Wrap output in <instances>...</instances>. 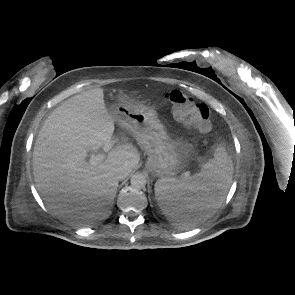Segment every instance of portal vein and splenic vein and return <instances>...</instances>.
I'll use <instances>...</instances> for the list:
<instances>
[{"label": "portal vein and splenic vein", "mask_w": 295, "mask_h": 295, "mask_svg": "<svg viewBox=\"0 0 295 295\" xmlns=\"http://www.w3.org/2000/svg\"><path fill=\"white\" fill-rule=\"evenodd\" d=\"M112 147H113V143L112 142H107L103 146V151L105 153H107ZM104 158H105V154L104 153H101V154H98V155H92L91 158L89 159V163H91L92 165H97L101 161H103Z\"/></svg>", "instance_id": "1"}]
</instances>
